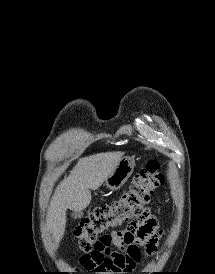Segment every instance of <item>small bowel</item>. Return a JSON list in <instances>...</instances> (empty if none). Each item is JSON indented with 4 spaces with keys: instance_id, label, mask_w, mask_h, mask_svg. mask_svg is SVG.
<instances>
[{
    "instance_id": "c3829d8e",
    "label": "small bowel",
    "mask_w": 215,
    "mask_h": 274,
    "mask_svg": "<svg viewBox=\"0 0 215 274\" xmlns=\"http://www.w3.org/2000/svg\"><path fill=\"white\" fill-rule=\"evenodd\" d=\"M158 229L156 218L147 209L126 229L100 238L91 251L80 257V266L95 274H130L140 261L142 247L147 255L157 251Z\"/></svg>"
}]
</instances>
